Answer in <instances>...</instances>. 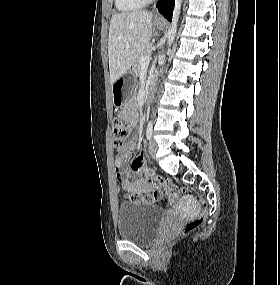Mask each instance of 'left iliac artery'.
<instances>
[{"instance_id": "44dca946", "label": "left iliac artery", "mask_w": 280, "mask_h": 285, "mask_svg": "<svg viewBox=\"0 0 280 285\" xmlns=\"http://www.w3.org/2000/svg\"><path fill=\"white\" fill-rule=\"evenodd\" d=\"M152 132H153V126H152V122L150 121L148 123V126H147V130H146V136H147V139L150 140L151 137H152Z\"/></svg>"}]
</instances>
